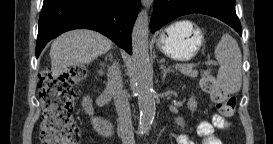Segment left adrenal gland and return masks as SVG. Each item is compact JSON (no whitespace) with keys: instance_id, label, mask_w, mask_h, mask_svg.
Returning <instances> with one entry per match:
<instances>
[{"instance_id":"obj_1","label":"left adrenal gland","mask_w":273,"mask_h":144,"mask_svg":"<svg viewBox=\"0 0 273 144\" xmlns=\"http://www.w3.org/2000/svg\"><path fill=\"white\" fill-rule=\"evenodd\" d=\"M160 69L162 71V80L164 81L167 73L171 72L172 70L170 68H166V66L163 63H161Z\"/></svg>"}]
</instances>
